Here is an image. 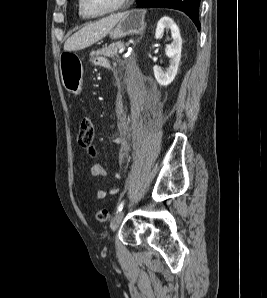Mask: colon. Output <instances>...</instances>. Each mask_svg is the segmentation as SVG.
<instances>
[{
  "label": "colon",
  "instance_id": "5ec220e1",
  "mask_svg": "<svg viewBox=\"0 0 267 298\" xmlns=\"http://www.w3.org/2000/svg\"><path fill=\"white\" fill-rule=\"evenodd\" d=\"M94 137L95 124L93 120L89 117L83 118L79 123L76 139L78 145L91 156L96 154V149L93 146ZM96 219L99 222H106L109 219V212L106 209H99L96 212Z\"/></svg>",
  "mask_w": 267,
  "mask_h": 298
}]
</instances>
